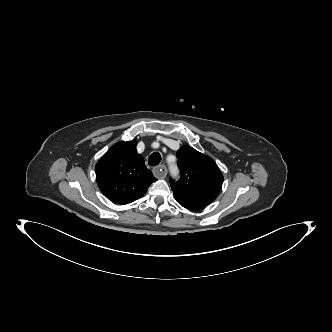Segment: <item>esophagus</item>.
Returning <instances> with one entry per match:
<instances>
[{"instance_id": "esophagus-1", "label": "esophagus", "mask_w": 332, "mask_h": 332, "mask_svg": "<svg viewBox=\"0 0 332 332\" xmlns=\"http://www.w3.org/2000/svg\"><path fill=\"white\" fill-rule=\"evenodd\" d=\"M153 173L157 178L163 179L167 175V168L165 165H159L153 169Z\"/></svg>"}]
</instances>
